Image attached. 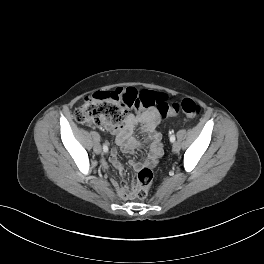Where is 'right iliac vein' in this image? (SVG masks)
<instances>
[{"instance_id": "63e3f726", "label": "right iliac vein", "mask_w": 264, "mask_h": 264, "mask_svg": "<svg viewBox=\"0 0 264 264\" xmlns=\"http://www.w3.org/2000/svg\"><path fill=\"white\" fill-rule=\"evenodd\" d=\"M94 151H95V153H97V154L101 153L102 149H101L100 145H96V146L94 147Z\"/></svg>"}]
</instances>
